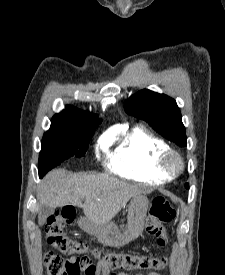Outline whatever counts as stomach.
<instances>
[{
    "mask_svg": "<svg viewBox=\"0 0 225 275\" xmlns=\"http://www.w3.org/2000/svg\"><path fill=\"white\" fill-rule=\"evenodd\" d=\"M150 206V201L144 195L133 197L129 204L127 224L124 228H120L114 222L97 225L88 219L84 220L82 225L100 243L111 247H122L142 234Z\"/></svg>",
    "mask_w": 225,
    "mask_h": 275,
    "instance_id": "0dacf381",
    "label": "stomach"
}]
</instances>
